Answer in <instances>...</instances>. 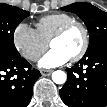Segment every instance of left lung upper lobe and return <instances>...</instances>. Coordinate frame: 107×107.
<instances>
[{"instance_id": "5c2ea615", "label": "left lung upper lobe", "mask_w": 107, "mask_h": 107, "mask_svg": "<svg viewBox=\"0 0 107 107\" xmlns=\"http://www.w3.org/2000/svg\"><path fill=\"white\" fill-rule=\"evenodd\" d=\"M62 10L75 12L86 24L90 34V43L87 52L101 44L107 43L106 12L84 2L73 3L63 7Z\"/></svg>"}]
</instances>
